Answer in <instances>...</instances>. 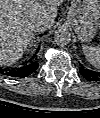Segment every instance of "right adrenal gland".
I'll use <instances>...</instances> for the list:
<instances>
[{
  "mask_svg": "<svg viewBox=\"0 0 100 118\" xmlns=\"http://www.w3.org/2000/svg\"><path fill=\"white\" fill-rule=\"evenodd\" d=\"M35 38H36V34L33 35L32 39H31V41L29 43V46L33 45V43L35 42Z\"/></svg>",
  "mask_w": 100,
  "mask_h": 118,
  "instance_id": "right-adrenal-gland-1",
  "label": "right adrenal gland"
}]
</instances>
